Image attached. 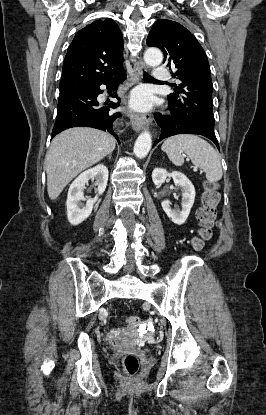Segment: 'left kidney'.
Returning <instances> with one entry per match:
<instances>
[{
	"label": "left kidney",
	"mask_w": 266,
	"mask_h": 415,
	"mask_svg": "<svg viewBox=\"0 0 266 415\" xmlns=\"http://www.w3.org/2000/svg\"><path fill=\"white\" fill-rule=\"evenodd\" d=\"M167 177H172L174 184L181 188L182 201L181 210L172 209L171 203L168 200L162 201L161 205L164 212L175 224H183L189 216L190 210L195 200V188L191 181L181 172L174 171L168 173L165 169L155 168L152 173V180L156 186L164 183Z\"/></svg>",
	"instance_id": "5707ae66"
}]
</instances>
